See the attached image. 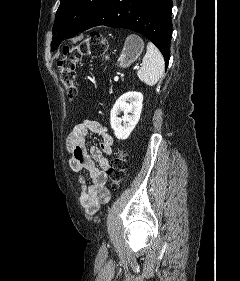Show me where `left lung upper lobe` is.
<instances>
[{"instance_id": "1", "label": "left lung upper lobe", "mask_w": 240, "mask_h": 281, "mask_svg": "<svg viewBox=\"0 0 240 281\" xmlns=\"http://www.w3.org/2000/svg\"><path fill=\"white\" fill-rule=\"evenodd\" d=\"M103 2L104 0H61L52 28V51L64 39L77 35Z\"/></svg>"}]
</instances>
